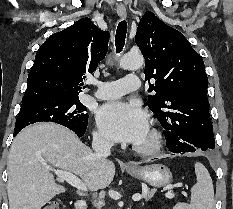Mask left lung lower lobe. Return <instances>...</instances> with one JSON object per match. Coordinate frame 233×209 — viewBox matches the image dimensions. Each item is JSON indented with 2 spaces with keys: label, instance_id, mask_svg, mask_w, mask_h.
I'll list each match as a JSON object with an SVG mask.
<instances>
[{
  "label": "left lung lower lobe",
  "instance_id": "0a47b994",
  "mask_svg": "<svg viewBox=\"0 0 233 209\" xmlns=\"http://www.w3.org/2000/svg\"><path fill=\"white\" fill-rule=\"evenodd\" d=\"M166 144L169 151L173 153H184V152H195L203 151L209 152L210 149L206 146H199L194 144L193 141L186 139L184 136L177 134L173 131L165 130L164 131Z\"/></svg>",
  "mask_w": 233,
  "mask_h": 209
}]
</instances>
